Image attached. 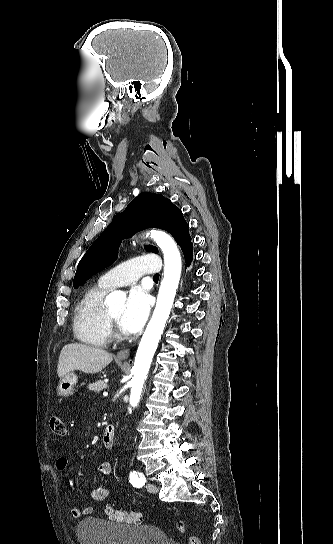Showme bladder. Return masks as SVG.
Returning <instances> with one entry per match:
<instances>
[{
    "instance_id": "1",
    "label": "bladder",
    "mask_w": 333,
    "mask_h": 544,
    "mask_svg": "<svg viewBox=\"0 0 333 544\" xmlns=\"http://www.w3.org/2000/svg\"><path fill=\"white\" fill-rule=\"evenodd\" d=\"M81 544H170L168 535L150 525H126L98 518L82 520L76 527Z\"/></svg>"
}]
</instances>
